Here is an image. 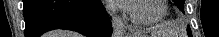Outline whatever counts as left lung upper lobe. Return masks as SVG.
Here are the masks:
<instances>
[{
  "instance_id": "5c2ea615",
  "label": "left lung upper lobe",
  "mask_w": 219,
  "mask_h": 37,
  "mask_svg": "<svg viewBox=\"0 0 219 37\" xmlns=\"http://www.w3.org/2000/svg\"><path fill=\"white\" fill-rule=\"evenodd\" d=\"M178 7L179 9L184 13V2L185 0H172ZM187 33L189 36H192L190 27H187Z\"/></svg>"
}]
</instances>
